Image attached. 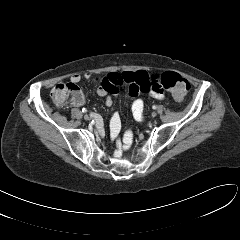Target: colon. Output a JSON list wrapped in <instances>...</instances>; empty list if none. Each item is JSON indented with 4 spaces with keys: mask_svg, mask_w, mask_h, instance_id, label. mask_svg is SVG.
Listing matches in <instances>:
<instances>
[{
    "mask_svg": "<svg viewBox=\"0 0 240 240\" xmlns=\"http://www.w3.org/2000/svg\"><path fill=\"white\" fill-rule=\"evenodd\" d=\"M161 86L170 91L176 100H183L190 91L189 82L175 72H165L159 75ZM82 95L80 87L74 83L58 84L51 91V98L58 107L65 106L68 102ZM130 138L125 139V146H129Z\"/></svg>",
    "mask_w": 240,
    "mask_h": 240,
    "instance_id": "obj_1",
    "label": "colon"
}]
</instances>
